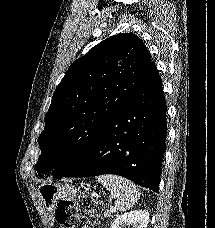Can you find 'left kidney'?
I'll list each match as a JSON object with an SVG mask.
<instances>
[{
  "label": "left kidney",
  "mask_w": 215,
  "mask_h": 228,
  "mask_svg": "<svg viewBox=\"0 0 215 228\" xmlns=\"http://www.w3.org/2000/svg\"><path fill=\"white\" fill-rule=\"evenodd\" d=\"M148 222V210H135V212H127V214L117 216L111 228H125V226H132V228H147Z\"/></svg>",
  "instance_id": "obj_1"
}]
</instances>
